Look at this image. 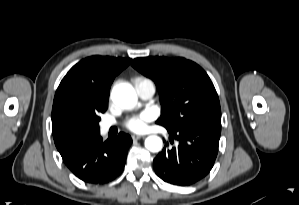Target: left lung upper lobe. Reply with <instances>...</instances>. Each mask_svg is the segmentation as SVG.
Listing matches in <instances>:
<instances>
[{"instance_id": "1", "label": "left lung upper lobe", "mask_w": 299, "mask_h": 205, "mask_svg": "<svg viewBox=\"0 0 299 205\" xmlns=\"http://www.w3.org/2000/svg\"><path fill=\"white\" fill-rule=\"evenodd\" d=\"M132 66L151 78L160 93L157 123L175 129L205 122H221L217 92L207 73L185 58H136Z\"/></svg>"}]
</instances>
